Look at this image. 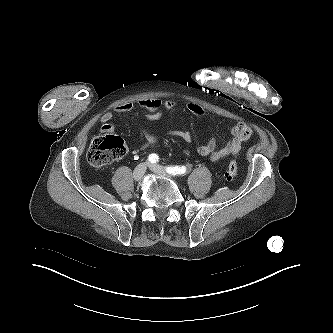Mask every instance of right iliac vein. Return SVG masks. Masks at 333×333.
Here are the masks:
<instances>
[{
  "label": "right iliac vein",
  "instance_id": "63e3f726",
  "mask_svg": "<svg viewBox=\"0 0 333 333\" xmlns=\"http://www.w3.org/2000/svg\"><path fill=\"white\" fill-rule=\"evenodd\" d=\"M146 168H147L146 163H141L135 168V170L133 172V178L135 181L139 182L142 180V178L144 177V174L146 172Z\"/></svg>",
  "mask_w": 333,
  "mask_h": 333
}]
</instances>
